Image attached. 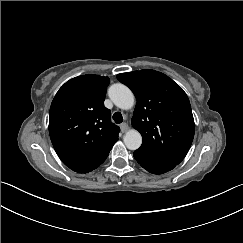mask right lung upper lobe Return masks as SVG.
<instances>
[{"label": "right lung upper lobe", "mask_w": 243, "mask_h": 243, "mask_svg": "<svg viewBox=\"0 0 243 243\" xmlns=\"http://www.w3.org/2000/svg\"><path fill=\"white\" fill-rule=\"evenodd\" d=\"M108 77L81 75L55 95L49 113V134L62 162L87 173L104 162L118 140L119 127L104 106Z\"/></svg>", "instance_id": "1"}]
</instances>
